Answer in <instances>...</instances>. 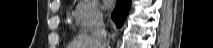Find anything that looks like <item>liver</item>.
<instances>
[{"mask_svg": "<svg viewBox=\"0 0 213 48\" xmlns=\"http://www.w3.org/2000/svg\"><path fill=\"white\" fill-rule=\"evenodd\" d=\"M68 48H96V45L90 35H80L74 39Z\"/></svg>", "mask_w": 213, "mask_h": 48, "instance_id": "6515ba94", "label": "liver"}]
</instances>
